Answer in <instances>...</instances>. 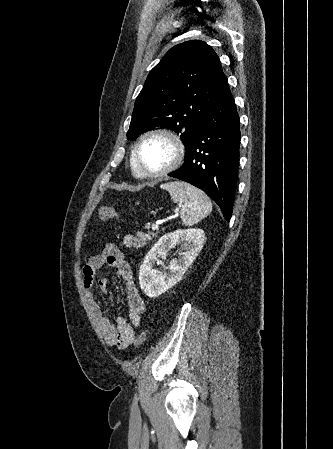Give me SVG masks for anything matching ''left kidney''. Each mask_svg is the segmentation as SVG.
<instances>
[{"label": "left kidney", "instance_id": "left-kidney-1", "mask_svg": "<svg viewBox=\"0 0 333 449\" xmlns=\"http://www.w3.org/2000/svg\"><path fill=\"white\" fill-rule=\"evenodd\" d=\"M205 233L200 228L176 230L162 236L145 256L139 271V284L144 293L153 298L158 297L183 277L187 268L196 259L202 250ZM181 244L184 252L178 260H172L169 265V274H159L153 264L164 258L174 246Z\"/></svg>", "mask_w": 333, "mask_h": 449}]
</instances>
